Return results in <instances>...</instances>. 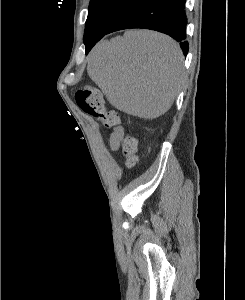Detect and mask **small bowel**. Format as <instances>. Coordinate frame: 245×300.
<instances>
[{"mask_svg":"<svg viewBox=\"0 0 245 300\" xmlns=\"http://www.w3.org/2000/svg\"><path fill=\"white\" fill-rule=\"evenodd\" d=\"M124 138V128L122 126L113 127L112 132L109 136V146L112 151H117L121 145Z\"/></svg>","mask_w":245,"mask_h":300,"instance_id":"c3829d8e","label":"small bowel"}]
</instances>
